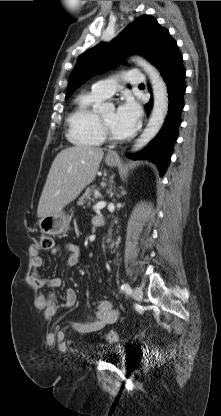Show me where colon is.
Returning a JSON list of instances; mask_svg holds the SVG:
<instances>
[{"instance_id": "5ec220e1", "label": "colon", "mask_w": 221, "mask_h": 416, "mask_svg": "<svg viewBox=\"0 0 221 416\" xmlns=\"http://www.w3.org/2000/svg\"><path fill=\"white\" fill-rule=\"evenodd\" d=\"M39 246L41 249L50 250L54 247V239L50 235H42L40 237ZM105 339L108 342H115L117 340V334L115 331H108L105 335Z\"/></svg>"}]
</instances>
